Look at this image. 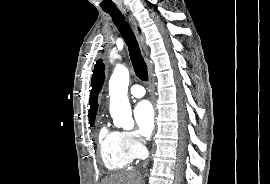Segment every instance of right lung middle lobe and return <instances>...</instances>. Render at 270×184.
Returning <instances> with one entry per match:
<instances>
[{
	"label": "right lung middle lobe",
	"instance_id": "right-lung-middle-lobe-1",
	"mask_svg": "<svg viewBox=\"0 0 270 184\" xmlns=\"http://www.w3.org/2000/svg\"><path fill=\"white\" fill-rule=\"evenodd\" d=\"M90 126H93L94 121H89Z\"/></svg>",
	"mask_w": 270,
	"mask_h": 184
}]
</instances>
